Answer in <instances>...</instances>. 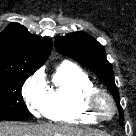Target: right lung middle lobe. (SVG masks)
<instances>
[{"mask_svg":"<svg viewBox=\"0 0 136 136\" xmlns=\"http://www.w3.org/2000/svg\"><path fill=\"white\" fill-rule=\"evenodd\" d=\"M32 73L0 74V121H18L29 117L21 89Z\"/></svg>","mask_w":136,"mask_h":136,"instance_id":"right-lung-middle-lobe-1","label":"right lung middle lobe"}]
</instances>
